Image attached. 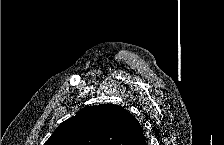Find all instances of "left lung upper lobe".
Here are the masks:
<instances>
[{
	"label": "left lung upper lobe",
	"mask_w": 224,
	"mask_h": 145,
	"mask_svg": "<svg viewBox=\"0 0 224 145\" xmlns=\"http://www.w3.org/2000/svg\"><path fill=\"white\" fill-rule=\"evenodd\" d=\"M142 137L140 123L127 110L102 104L62 122L45 145H137Z\"/></svg>",
	"instance_id": "5c2ea615"
}]
</instances>
